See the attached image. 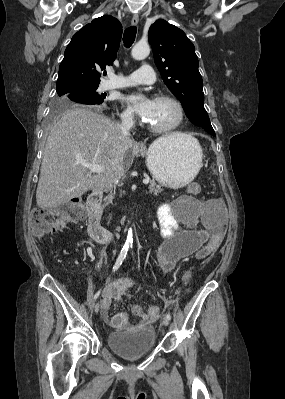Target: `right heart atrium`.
Masks as SVG:
<instances>
[{
  "mask_svg": "<svg viewBox=\"0 0 285 399\" xmlns=\"http://www.w3.org/2000/svg\"><path fill=\"white\" fill-rule=\"evenodd\" d=\"M121 117H122L124 120H133V118H134V113H133V111H132L131 108H125V109L122 111Z\"/></svg>",
  "mask_w": 285,
  "mask_h": 399,
  "instance_id": "1",
  "label": "right heart atrium"
}]
</instances>
